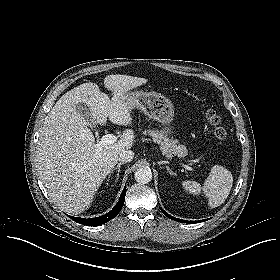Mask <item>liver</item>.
<instances>
[{
	"label": "liver",
	"instance_id": "1",
	"mask_svg": "<svg viewBox=\"0 0 280 280\" xmlns=\"http://www.w3.org/2000/svg\"><path fill=\"white\" fill-rule=\"evenodd\" d=\"M147 79L108 75L104 86L113 92L110 99L99 86L88 82L65 93L45 118L39 137L37 165L41 180L52 201L67 213L88 208L103 179L117 164L119 154L133 145L134 132L126 130L113 144L97 149L89 123L77 111L86 104L95 124H132V104L126 94L147 83Z\"/></svg>",
	"mask_w": 280,
	"mask_h": 280
}]
</instances>
